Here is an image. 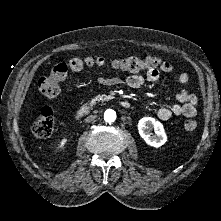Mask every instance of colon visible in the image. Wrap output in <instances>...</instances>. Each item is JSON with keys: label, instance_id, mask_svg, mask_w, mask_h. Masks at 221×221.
I'll return each mask as SVG.
<instances>
[{"label": "colon", "instance_id": "colon-1", "mask_svg": "<svg viewBox=\"0 0 221 221\" xmlns=\"http://www.w3.org/2000/svg\"><path fill=\"white\" fill-rule=\"evenodd\" d=\"M84 65L87 66H110L117 70L139 72L148 70H158L161 67L160 58L148 56L145 58L129 56L125 58L106 59L103 57H87L85 59L73 58L67 63H58L53 66L47 76L40 78L38 88L41 94L49 99L57 97L60 93V82L68 74V71H80ZM181 130L184 134L190 135L197 128L196 121L186 118L181 121ZM33 133L37 137L46 138L52 135L54 130L53 112L49 108H42L32 127Z\"/></svg>", "mask_w": 221, "mask_h": 221}]
</instances>
